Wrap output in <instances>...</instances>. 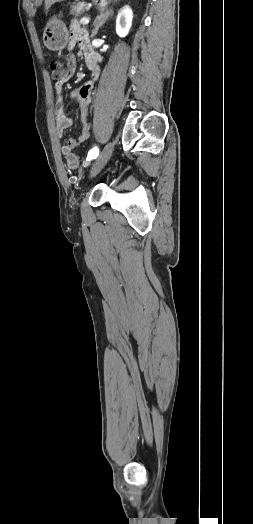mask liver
Listing matches in <instances>:
<instances>
[{
  "instance_id": "6515ba94",
  "label": "liver",
  "mask_w": 253,
  "mask_h": 524,
  "mask_svg": "<svg viewBox=\"0 0 253 524\" xmlns=\"http://www.w3.org/2000/svg\"><path fill=\"white\" fill-rule=\"evenodd\" d=\"M61 1L63 0H45L46 9L48 10L54 3Z\"/></svg>"
}]
</instances>
